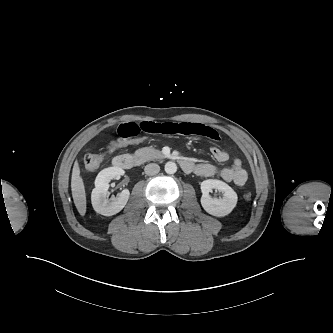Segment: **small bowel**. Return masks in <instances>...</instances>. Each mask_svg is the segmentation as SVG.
<instances>
[{"label":"small bowel","mask_w":333,"mask_h":333,"mask_svg":"<svg viewBox=\"0 0 333 333\" xmlns=\"http://www.w3.org/2000/svg\"><path fill=\"white\" fill-rule=\"evenodd\" d=\"M120 138L131 139L140 133H157L165 135H196L217 140L219 138L215 129L201 123L189 122H170V123H155V122H141V123H124L117 129ZM212 156L219 162H226L230 159L229 153L218 147L210 149ZM191 172L202 177L218 176L225 182H233L237 186H243L248 178L247 171L243 168L242 162L239 158L232 160V165L229 167L218 168L210 163H199L194 165Z\"/></svg>","instance_id":"1"}]
</instances>
